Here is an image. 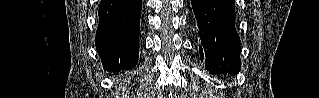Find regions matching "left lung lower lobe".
<instances>
[{
    "instance_id": "obj_1",
    "label": "left lung lower lobe",
    "mask_w": 319,
    "mask_h": 98,
    "mask_svg": "<svg viewBox=\"0 0 319 98\" xmlns=\"http://www.w3.org/2000/svg\"><path fill=\"white\" fill-rule=\"evenodd\" d=\"M200 36V57L212 74H237L240 40L235 28L234 0H191Z\"/></svg>"
}]
</instances>
